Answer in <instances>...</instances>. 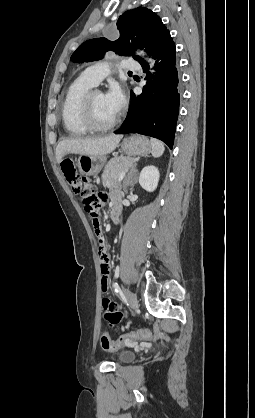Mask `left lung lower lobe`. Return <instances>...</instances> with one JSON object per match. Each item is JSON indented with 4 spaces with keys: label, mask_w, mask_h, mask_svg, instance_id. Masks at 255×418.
<instances>
[{
    "label": "left lung lower lobe",
    "mask_w": 255,
    "mask_h": 418,
    "mask_svg": "<svg viewBox=\"0 0 255 418\" xmlns=\"http://www.w3.org/2000/svg\"><path fill=\"white\" fill-rule=\"evenodd\" d=\"M153 59L156 75L150 76L148 64L145 61L141 63L143 72L147 74V85L138 96L131 92L130 111L115 133H139L155 137L172 149L180 100V75L172 38Z\"/></svg>",
    "instance_id": "obj_1"
}]
</instances>
